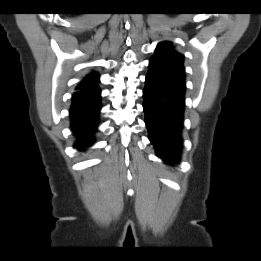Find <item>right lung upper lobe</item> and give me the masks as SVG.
I'll return each mask as SVG.
<instances>
[{"instance_id": "cb5924a9", "label": "right lung upper lobe", "mask_w": 261, "mask_h": 261, "mask_svg": "<svg viewBox=\"0 0 261 261\" xmlns=\"http://www.w3.org/2000/svg\"><path fill=\"white\" fill-rule=\"evenodd\" d=\"M98 81V74L96 72H92L86 76L76 87V89H85V88H90L96 85V82Z\"/></svg>"}]
</instances>
